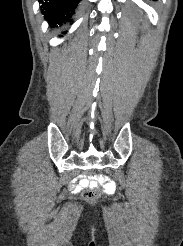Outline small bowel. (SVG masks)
<instances>
[{"instance_id":"1","label":"small bowel","mask_w":183,"mask_h":246,"mask_svg":"<svg viewBox=\"0 0 183 246\" xmlns=\"http://www.w3.org/2000/svg\"><path fill=\"white\" fill-rule=\"evenodd\" d=\"M78 184L73 185V191L78 193L86 187H95V182H104L105 189L104 194H107L108 198L113 197L114 191H116V181H112L111 177H107V174H92V178H88V174H77Z\"/></svg>"}]
</instances>
